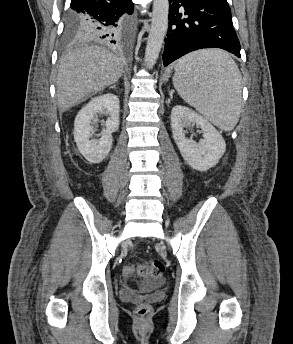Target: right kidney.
<instances>
[{"instance_id":"obj_1","label":"right kidney","mask_w":293,"mask_h":344,"mask_svg":"<svg viewBox=\"0 0 293 344\" xmlns=\"http://www.w3.org/2000/svg\"><path fill=\"white\" fill-rule=\"evenodd\" d=\"M119 98L107 93L97 96L87 103L77 114L74 121V139L79 152L90 163H100L108 155L112 146V133L119 128ZM97 114L107 115L103 122L105 129L99 140L90 139L91 123Z\"/></svg>"}]
</instances>
